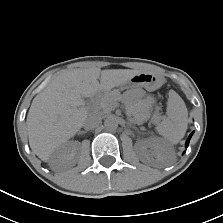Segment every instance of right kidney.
Masks as SVG:
<instances>
[{
    "mask_svg": "<svg viewBox=\"0 0 223 223\" xmlns=\"http://www.w3.org/2000/svg\"><path fill=\"white\" fill-rule=\"evenodd\" d=\"M78 146L79 144L74 141L66 142L59 146L51 156V168L59 169L74 166Z\"/></svg>",
    "mask_w": 223,
    "mask_h": 223,
    "instance_id": "ca27d5eb",
    "label": "right kidney"
}]
</instances>
